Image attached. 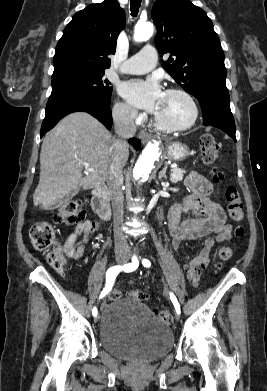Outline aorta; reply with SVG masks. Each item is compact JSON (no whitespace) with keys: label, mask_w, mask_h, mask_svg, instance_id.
Here are the masks:
<instances>
[{"label":"aorta","mask_w":267,"mask_h":391,"mask_svg":"<svg viewBox=\"0 0 267 391\" xmlns=\"http://www.w3.org/2000/svg\"><path fill=\"white\" fill-rule=\"evenodd\" d=\"M153 32L154 27L151 23H137L134 28L133 39L135 42L146 41L153 35ZM160 154L159 142L152 141L146 145L133 170V176L139 183H143L148 179Z\"/></svg>","instance_id":"obj_1"}]
</instances>
